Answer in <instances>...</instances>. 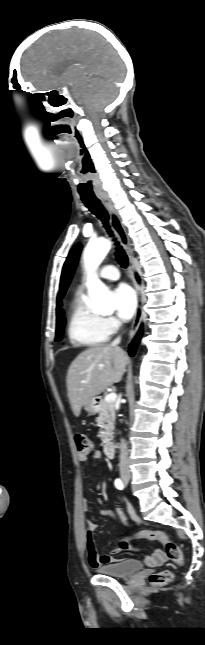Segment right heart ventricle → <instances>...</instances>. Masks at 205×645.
Here are the masks:
<instances>
[{
    "mask_svg": "<svg viewBox=\"0 0 205 645\" xmlns=\"http://www.w3.org/2000/svg\"><path fill=\"white\" fill-rule=\"evenodd\" d=\"M110 335L105 318L90 309L86 296L78 291L73 299L68 337L72 344L96 346L104 343Z\"/></svg>",
    "mask_w": 205,
    "mask_h": 645,
    "instance_id": "1",
    "label": "right heart ventricle"
}]
</instances>
